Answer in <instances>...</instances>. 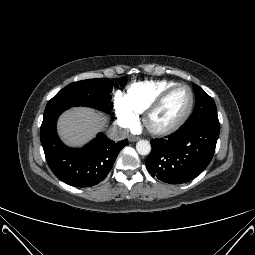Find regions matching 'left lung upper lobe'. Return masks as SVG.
Wrapping results in <instances>:
<instances>
[{"mask_svg": "<svg viewBox=\"0 0 255 255\" xmlns=\"http://www.w3.org/2000/svg\"><path fill=\"white\" fill-rule=\"evenodd\" d=\"M196 93V106L192 115L182 128H191L206 125L219 126L216 105L214 100L205 93L198 85H193Z\"/></svg>", "mask_w": 255, "mask_h": 255, "instance_id": "left-lung-upper-lobe-1", "label": "left lung upper lobe"}]
</instances>
